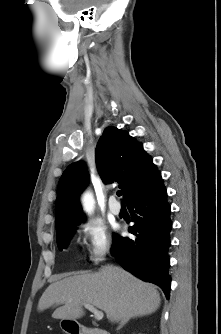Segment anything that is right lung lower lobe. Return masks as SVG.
<instances>
[{
  "instance_id": "right-lung-lower-lobe-1",
  "label": "right lung lower lobe",
  "mask_w": 221,
  "mask_h": 334,
  "mask_svg": "<svg viewBox=\"0 0 221 334\" xmlns=\"http://www.w3.org/2000/svg\"><path fill=\"white\" fill-rule=\"evenodd\" d=\"M161 174L127 200L135 224L129 232L135 239L119 235L113 237L112 254L126 270L144 281L158 285L169 299L171 277L170 259V205Z\"/></svg>"
}]
</instances>
